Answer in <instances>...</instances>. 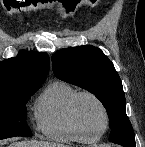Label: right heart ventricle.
Returning <instances> with one entry per match:
<instances>
[{
    "label": "right heart ventricle",
    "mask_w": 145,
    "mask_h": 147,
    "mask_svg": "<svg viewBox=\"0 0 145 147\" xmlns=\"http://www.w3.org/2000/svg\"><path fill=\"white\" fill-rule=\"evenodd\" d=\"M77 92L70 83L55 80L39 95L34 104V120L44 137L61 143L90 142L70 119V102Z\"/></svg>",
    "instance_id": "obj_1"
}]
</instances>
